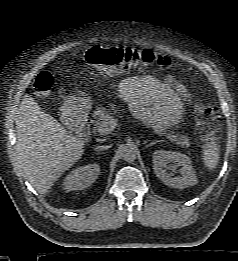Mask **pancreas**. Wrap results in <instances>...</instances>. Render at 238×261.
<instances>
[{
  "label": "pancreas",
  "mask_w": 238,
  "mask_h": 261,
  "mask_svg": "<svg viewBox=\"0 0 238 261\" xmlns=\"http://www.w3.org/2000/svg\"><path fill=\"white\" fill-rule=\"evenodd\" d=\"M110 115H111V109H107L104 106L97 107L92 115V117L94 118L93 120L94 130L100 132L99 131L100 124L102 123V121L105 119L106 116H110ZM154 131L159 136H166L167 139H169L172 142H175L177 145H181L183 147L190 146L189 139L186 135L175 134L172 131H166L159 128H155ZM101 134H105V133H101Z\"/></svg>",
  "instance_id": "cf45deb5"
}]
</instances>
